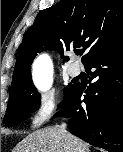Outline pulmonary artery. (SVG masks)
Masks as SVG:
<instances>
[{"instance_id":"obj_1","label":"pulmonary artery","mask_w":123,"mask_h":152,"mask_svg":"<svg viewBox=\"0 0 123 152\" xmlns=\"http://www.w3.org/2000/svg\"><path fill=\"white\" fill-rule=\"evenodd\" d=\"M81 69L80 66L77 63H72L68 68V74L71 77H76L80 74Z\"/></svg>"}]
</instances>
